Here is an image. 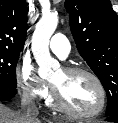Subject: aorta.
<instances>
[{"instance_id": "obj_1", "label": "aorta", "mask_w": 118, "mask_h": 123, "mask_svg": "<svg viewBox=\"0 0 118 123\" xmlns=\"http://www.w3.org/2000/svg\"><path fill=\"white\" fill-rule=\"evenodd\" d=\"M58 25L57 13L45 14L37 23L32 36V53L39 65L38 74L40 77H48L52 74V68L58 63L54 60L49 51V42L52 34Z\"/></svg>"}]
</instances>
